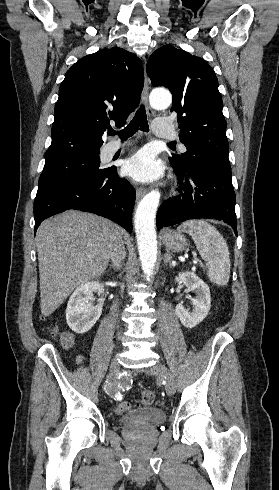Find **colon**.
I'll return each mask as SVG.
<instances>
[{
    "mask_svg": "<svg viewBox=\"0 0 279 490\" xmlns=\"http://www.w3.org/2000/svg\"><path fill=\"white\" fill-rule=\"evenodd\" d=\"M50 332L53 335H57L61 341V344L65 348H69L73 344L72 334L64 331H59L57 327L50 328ZM155 395L152 391H145L141 398V403L144 405H151L154 401ZM130 403L128 401H122L114 407V413L118 415L125 414L130 410Z\"/></svg>",
    "mask_w": 279,
    "mask_h": 490,
    "instance_id": "1",
    "label": "colon"
}]
</instances>
